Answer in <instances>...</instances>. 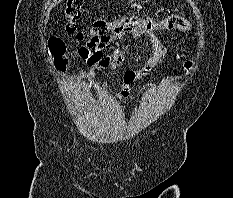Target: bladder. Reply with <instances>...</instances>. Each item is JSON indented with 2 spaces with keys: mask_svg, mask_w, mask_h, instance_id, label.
<instances>
[{
  "mask_svg": "<svg viewBox=\"0 0 233 198\" xmlns=\"http://www.w3.org/2000/svg\"><path fill=\"white\" fill-rule=\"evenodd\" d=\"M106 126L105 118L101 115H89L84 120V130L89 135H99Z\"/></svg>",
  "mask_w": 233,
  "mask_h": 198,
  "instance_id": "1",
  "label": "bladder"
}]
</instances>
